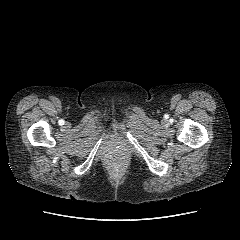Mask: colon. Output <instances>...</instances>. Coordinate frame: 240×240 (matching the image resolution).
<instances>
[{
	"label": "colon",
	"instance_id": "5ec220e1",
	"mask_svg": "<svg viewBox=\"0 0 240 240\" xmlns=\"http://www.w3.org/2000/svg\"><path fill=\"white\" fill-rule=\"evenodd\" d=\"M113 165L116 167H119L121 165H123V159L122 158H117L114 160Z\"/></svg>",
	"mask_w": 240,
	"mask_h": 240
}]
</instances>
